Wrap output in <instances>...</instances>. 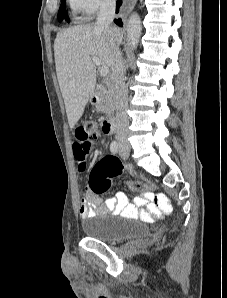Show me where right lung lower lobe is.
Returning a JSON list of instances; mask_svg holds the SVG:
<instances>
[{
    "label": "right lung lower lobe",
    "mask_w": 227,
    "mask_h": 298,
    "mask_svg": "<svg viewBox=\"0 0 227 298\" xmlns=\"http://www.w3.org/2000/svg\"><path fill=\"white\" fill-rule=\"evenodd\" d=\"M121 4H122V0H117V2H116V12L119 11V7L121 6ZM114 21L117 25L123 26V23L121 22V20H114Z\"/></svg>",
    "instance_id": "1"
}]
</instances>
